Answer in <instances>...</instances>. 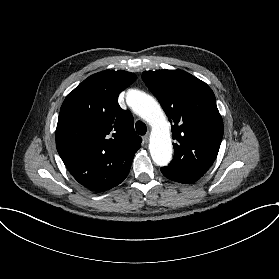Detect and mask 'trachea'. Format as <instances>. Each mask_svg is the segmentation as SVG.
<instances>
[{
    "mask_svg": "<svg viewBox=\"0 0 279 279\" xmlns=\"http://www.w3.org/2000/svg\"><path fill=\"white\" fill-rule=\"evenodd\" d=\"M135 127L139 135H144L147 131L146 125L141 121H138Z\"/></svg>",
    "mask_w": 279,
    "mask_h": 279,
    "instance_id": "3493384b",
    "label": "trachea"
}]
</instances>
